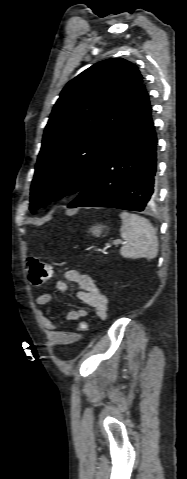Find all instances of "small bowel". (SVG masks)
<instances>
[{"label":"small bowel","mask_w":187,"mask_h":479,"mask_svg":"<svg viewBox=\"0 0 187 479\" xmlns=\"http://www.w3.org/2000/svg\"><path fill=\"white\" fill-rule=\"evenodd\" d=\"M66 281L76 284L78 290L76 297L82 303L92 307L98 318L105 320L108 312V299L98 287L93 283L91 277L87 274H83L76 269H69L65 272ZM64 280H58L55 283V289L58 292L68 291L67 282ZM53 296L50 293H42L37 296L36 303L38 305H48L52 302ZM87 316V311L83 308H78L68 312L66 319L69 322H75ZM38 318L40 323L48 331L50 338L55 342H60L66 336V332L60 331L57 325L48 318L42 311L38 312Z\"/></svg>","instance_id":"c3829d8e"}]
</instances>
